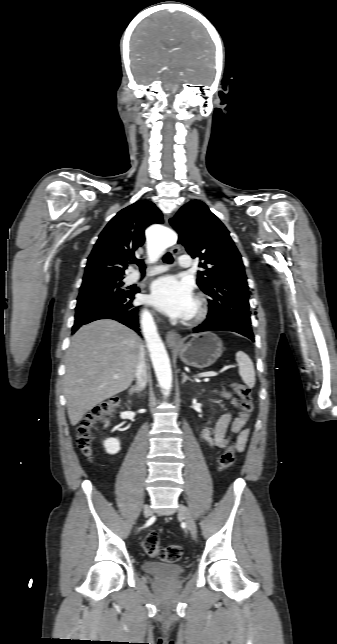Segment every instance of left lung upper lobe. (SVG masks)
I'll return each mask as SVG.
<instances>
[{"label":"left lung upper lobe","instance_id":"1","mask_svg":"<svg viewBox=\"0 0 337 644\" xmlns=\"http://www.w3.org/2000/svg\"><path fill=\"white\" fill-rule=\"evenodd\" d=\"M170 223L179 233L178 243L202 260L197 284L210 297L207 317L252 330L244 265L223 223L199 200L185 204Z\"/></svg>","mask_w":337,"mask_h":644}]
</instances>
